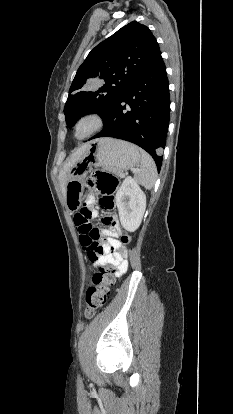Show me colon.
<instances>
[{"mask_svg": "<svg viewBox=\"0 0 233 414\" xmlns=\"http://www.w3.org/2000/svg\"><path fill=\"white\" fill-rule=\"evenodd\" d=\"M119 180L116 176L104 171L97 170L89 179V187L101 194L100 205L104 211H110L114 206L113 194L117 190ZM91 211L83 206L75 215V223L81 234V243L88 249V258L96 262L98 257L104 253V244L100 242V232L89 223ZM120 253L125 254V248L131 242L130 234L121 237ZM114 271L109 266L97 265L92 278V284L88 287L85 297V315L92 318L98 309L103 307L114 286Z\"/></svg>", "mask_w": 233, "mask_h": 414, "instance_id": "1", "label": "colon"}]
</instances>
